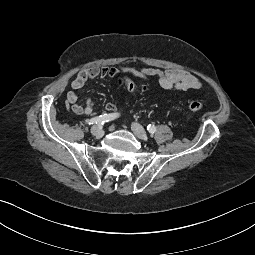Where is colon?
Segmentation results:
<instances>
[{"label": "colon", "mask_w": 255, "mask_h": 255, "mask_svg": "<svg viewBox=\"0 0 255 255\" xmlns=\"http://www.w3.org/2000/svg\"><path fill=\"white\" fill-rule=\"evenodd\" d=\"M119 85L127 86L129 89L137 92H144L146 90V86L144 85H136L134 83L128 82L126 79H120L118 81ZM188 108L193 112H200L203 109V104L199 100H190L188 103Z\"/></svg>", "instance_id": "colon-1"}]
</instances>
